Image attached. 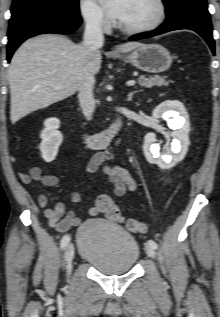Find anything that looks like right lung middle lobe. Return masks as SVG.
Segmentation results:
<instances>
[{
  "label": "right lung middle lobe",
  "instance_id": "dd1d6c3e",
  "mask_svg": "<svg viewBox=\"0 0 220 317\" xmlns=\"http://www.w3.org/2000/svg\"><path fill=\"white\" fill-rule=\"evenodd\" d=\"M41 10L56 11L72 16L79 15L78 0H13L11 17Z\"/></svg>",
  "mask_w": 220,
  "mask_h": 317
}]
</instances>
